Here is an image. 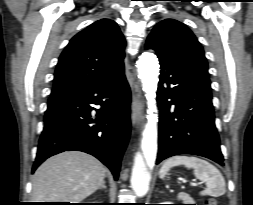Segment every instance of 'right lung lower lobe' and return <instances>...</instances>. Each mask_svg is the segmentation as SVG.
Segmentation results:
<instances>
[{"mask_svg":"<svg viewBox=\"0 0 253 205\" xmlns=\"http://www.w3.org/2000/svg\"><path fill=\"white\" fill-rule=\"evenodd\" d=\"M130 101L124 71L95 85L51 95L32 172L52 155L78 150L98 158L117 180L130 136Z\"/></svg>","mask_w":253,"mask_h":205,"instance_id":"right-lung-lower-lobe-1","label":"right lung lower lobe"}]
</instances>
